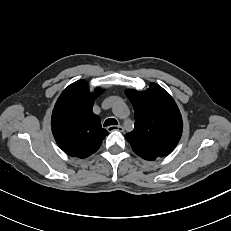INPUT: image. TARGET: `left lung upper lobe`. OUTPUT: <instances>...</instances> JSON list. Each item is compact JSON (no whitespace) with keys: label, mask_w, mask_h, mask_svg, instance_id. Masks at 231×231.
Instances as JSON below:
<instances>
[{"label":"left lung upper lobe","mask_w":231,"mask_h":231,"mask_svg":"<svg viewBox=\"0 0 231 231\" xmlns=\"http://www.w3.org/2000/svg\"><path fill=\"white\" fill-rule=\"evenodd\" d=\"M134 114V130L125 135L133 151L145 160L171 153L183 129L182 116L173 98L151 83L146 91L126 90Z\"/></svg>","instance_id":"left-lung-upper-lobe-1"}]
</instances>
